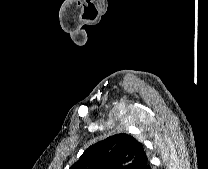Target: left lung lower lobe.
Wrapping results in <instances>:
<instances>
[{
	"mask_svg": "<svg viewBox=\"0 0 208 169\" xmlns=\"http://www.w3.org/2000/svg\"><path fill=\"white\" fill-rule=\"evenodd\" d=\"M144 169H151L149 162L147 163Z\"/></svg>",
	"mask_w": 208,
	"mask_h": 169,
	"instance_id": "1",
	"label": "left lung lower lobe"
}]
</instances>
